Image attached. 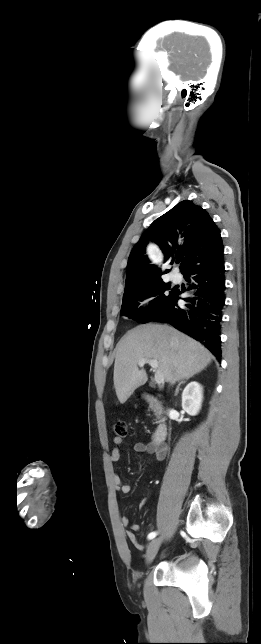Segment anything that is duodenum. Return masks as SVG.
<instances>
[{"label":"duodenum","instance_id":"410a0bca","mask_svg":"<svg viewBox=\"0 0 261 644\" xmlns=\"http://www.w3.org/2000/svg\"><path fill=\"white\" fill-rule=\"evenodd\" d=\"M144 398L150 404L151 408L153 409V411L155 412V414L159 419L156 430L153 434V443L156 445H162L167 435V427L163 419L161 418L162 408L154 396L150 394H146Z\"/></svg>","mask_w":261,"mask_h":644}]
</instances>
